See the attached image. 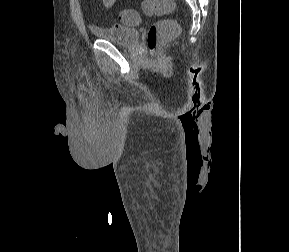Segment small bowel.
Masks as SVG:
<instances>
[{
  "instance_id": "c3829d8e",
  "label": "small bowel",
  "mask_w": 289,
  "mask_h": 252,
  "mask_svg": "<svg viewBox=\"0 0 289 252\" xmlns=\"http://www.w3.org/2000/svg\"><path fill=\"white\" fill-rule=\"evenodd\" d=\"M102 1V4L106 7V8H111L116 0H101Z\"/></svg>"
}]
</instances>
